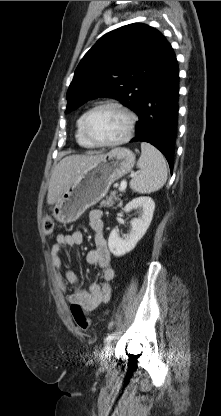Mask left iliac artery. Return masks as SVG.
Wrapping results in <instances>:
<instances>
[{
  "mask_svg": "<svg viewBox=\"0 0 221 416\" xmlns=\"http://www.w3.org/2000/svg\"><path fill=\"white\" fill-rule=\"evenodd\" d=\"M115 337V333H111L109 334L106 338H105V343L108 344L111 342V340H113Z\"/></svg>",
  "mask_w": 221,
  "mask_h": 416,
  "instance_id": "obj_1",
  "label": "left iliac artery"
}]
</instances>
